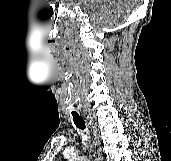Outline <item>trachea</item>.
<instances>
[{
    "label": "trachea",
    "mask_w": 171,
    "mask_h": 161,
    "mask_svg": "<svg viewBox=\"0 0 171 161\" xmlns=\"http://www.w3.org/2000/svg\"><path fill=\"white\" fill-rule=\"evenodd\" d=\"M72 116H73V121H74V124L76 125V127L82 131H85L86 126H85V123H84L82 117H80L77 112H73ZM85 134H86V131H85Z\"/></svg>",
    "instance_id": "trachea-1"
}]
</instances>
